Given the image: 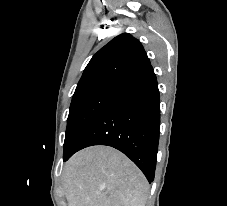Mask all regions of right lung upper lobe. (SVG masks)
<instances>
[{
  "label": "right lung upper lobe",
  "mask_w": 227,
  "mask_h": 206,
  "mask_svg": "<svg viewBox=\"0 0 227 206\" xmlns=\"http://www.w3.org/2000/svg\"><path fill=\"white\" fill-rule=\"evenodd\" d=\"M152 70L142 44L131 34L123 33L112 39L92 57L76 90L107 79L130 82Z\"/></svg>",
  "instance_id": "1"
}]
</instances>
